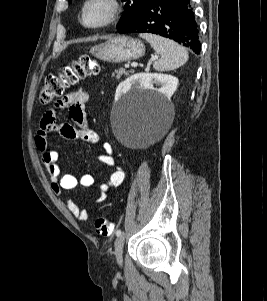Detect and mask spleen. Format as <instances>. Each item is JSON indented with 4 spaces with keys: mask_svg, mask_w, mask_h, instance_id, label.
I'll list each match as a JSON object with an SVG mask.
<instances>
[{
    "mask_svg": "<svg viewBox=\"0 0 267 301\" xmlns=\"http://www.w3.org/2000/svg\"><path fill=\"white\" fill-rule=\"evenodd\" d=\"M140 37L150 43L156 54L160 55V59L153 64L155 70L171 71L187 62L188 52L174 41L149 33H142Z\"/></svg>",
    "mask_w": 267,
    "mask_h": 301,
    "instance_id": "obj_1",
    "label": "spleen"
}]
</instances>
